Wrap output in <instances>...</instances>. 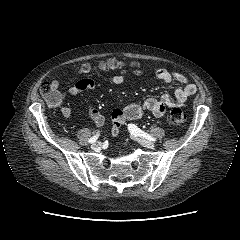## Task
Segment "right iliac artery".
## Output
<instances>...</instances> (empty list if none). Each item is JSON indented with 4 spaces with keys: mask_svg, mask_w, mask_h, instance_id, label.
Returning a JSON list of instances; mask_svg holds the SVG:
<instances>
[{
    "mask_svg": "<svg viewBox=\"0 0 240 240\" xmlns=\"http://www.w3.org/2000/svg\"><path fill=\"white\" fill-rule=\"evenodd\" d=\"M98 137H99V134L91 137V138L88 140V142H89V143H94V142L98 139Z\"/></svg>",
    "mask_w": 240,
    "mask_h": 240,
    "instance_id": "1",
    "label": "right iliac artery"
}]
</instances>
